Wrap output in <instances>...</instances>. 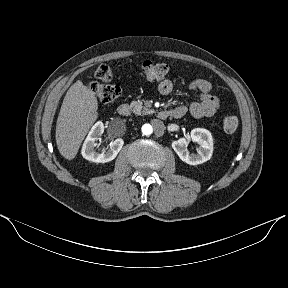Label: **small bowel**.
Instances as JSON below:
<instances>
[{"mask_svg": "<svg viewBox=\"0 0 288 288\" xmlns=\"http://www.w3.org/2000/svg\"><path fill=\"white\" fill-rule=\"evenodd\" d=\"M172 89L173 81L171 79H163L158 84V90L163 95L169 94ZM190 89L199 92V101L192 103L189 107L180 105L174 108L173 110L181 113L178 118L184 116L188 111L194 118L211 117L221 108L219 98L211 93V82L197 79L190 84Z\"/></svg>", "mask_w": 288, "mask_h": 288, "instance_id": "obj_1", "label": "small bowel"}]
</instances>
